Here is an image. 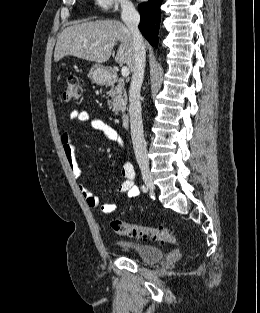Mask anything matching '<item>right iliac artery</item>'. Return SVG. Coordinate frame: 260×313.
<instances>
[{
    "mask_svg": "<svg viewBox=\"0 0 260 313\" xmlns=\"http://www.w3.org/2000/svg\"><path fill=\"white\" fill-rule=\"evenodd\" d=\"M136 188H137V187H136ZM141 189H142L143 192H146V191H147V188H146L144 185L141 186ZM137 191H138V189H137Z\"/></svg>",
    "mask_w": 260,
    "mask_h": 313,
    "instance_id": "obj_1",
    "label": "right iliac artery"
}]
</instances>
